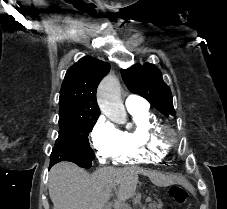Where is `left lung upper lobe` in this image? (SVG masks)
Masks as SVG:
<instances>
[{"mask_svg": "<svg viewBox=\"0 0 227 209\" xmlns=\"http://www.w3.org/2000/svg\"><path fill=\"white\" fill-rule=\"evenodd\" d=\"M121 75L132 93L147 99L163 115H176L170 88L163 82L161 72L153 64H135L127 70H121Z\"/></svg>", "mask_w": 227, "mask_h": 209, "instance_id": "obj_1", "label": "left lung upper lobe"}]
</instances>
